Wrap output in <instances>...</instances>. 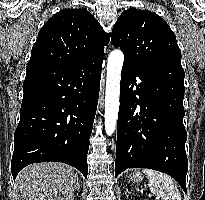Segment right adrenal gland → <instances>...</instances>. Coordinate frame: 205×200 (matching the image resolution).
I'll list each match as a JSON object with an SVG mask.
<instances>
[{
    "label": "right adrenal gland",
    "instance_id": "2a0ac1e0",
    "mask_svg": "<svg viewBox=\"0 0 205 200\" xmlns=\"http://www.w3.org/2000/svg\"><path fill=\"white\" fill-rule=\"evenodd\" d=\"M77 191L79 192L80 191V184H79V180L77 179ZM72 200H74V198L72 199Z\"/></svg>",
    "mask_w": 205,
    "mask_h": 200
}]
</instances>
